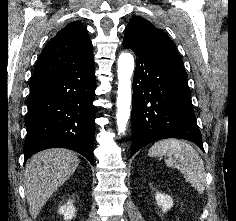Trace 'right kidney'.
I'll list each match as a JSON object with an SVG mask.
<instances>
[{
	"mask_svg": "<svg viewBox=\"0 0 236 221\" xmlns=\"http://www.w3.org/2000/svg\"><path fill=\"white\" fill-rule=\"evenodd\" d=\"M75 207L72 201H68L67 204L61 206L58 210L59 214L64 215L65 220H71L75 216Z\"/></svg>",
	"mask_w": 236,
	"mask_h": 221,
	"instance_id": "1",
	"label": "right kidney"
}]
</instances>
